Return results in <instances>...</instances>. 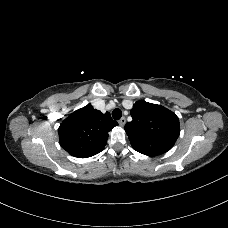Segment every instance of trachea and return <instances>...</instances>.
I'll use <instances>...</instances> for the list:
<instances>
[{
    "mask_svg": "<svg viewBox=\"0 0 228 228\" xmlns=\"http://www.w3.org/2000/svg\"><path fill=\"white\" fill-rule=\"evenodd\" d=\"M122 116V112L120 109L116 108L113 110L112 112V117L115 119V120H119Z\"/></svg>",
    "mask_w": 228,
    "mask_h": 228,
    "instance_id": "3493384b",
    "label": "trachea"
}]
</instances>
